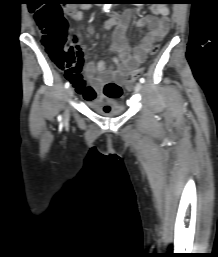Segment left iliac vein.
I'll list each match as a JSON object with an SVG mask.
<instances>
[{
  "instance_id": "4c4485c4",
  "label": "left iliac vein",
  "mask_w": 218,
  "mask_h": 257,
  "mask_svg": "<svg viewBox=\"0 0 218 257\" xmlns=\"http://www.w3.org/2000/svg\"><path fill=\"white\" fill-rule=\"evenodd\" d=\"M142 83L141 82H138V83H136V85H135V91L136 92H140L141 90H142Z\"/></svg>"
}]
</instances>
